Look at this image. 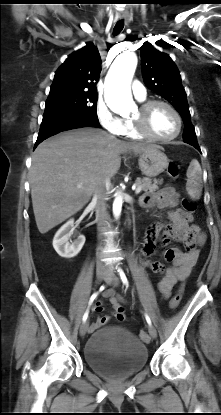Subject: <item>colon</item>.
Instances as JSON below:
<instances>
[{
  "label": "colon",
  "instance_id": "5ec220e1",
  "mask_svg": "<svg viewBox=\"0 0 221 415\" xmlns=\"http://www.w3.org/2000/svg\"><path fill=\"white\" fill-rule=\"evenodd\" d=\"M167 174L171 179H177L178 176H179L178 166L175 163H170L167 167ZM181 200H182L181 201V206L182 207H187V210L190 211V214L195 212L196 205L193 202L186 199L185 196H182ZM182 293H183V286H181L178 289L176 294L170 300L169 307L171 309H175L179 305L180 300L182 298ZM140 337H141L142 340H147L148 339V334H147L146 330H141L140 331Z\"/></svg>",
  "mask_w": 221,
  "mask_h": 415
}]
</instances>
